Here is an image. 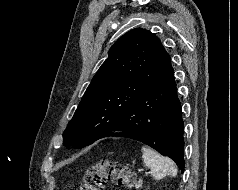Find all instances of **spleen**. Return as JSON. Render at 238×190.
Wrapping results in <instances>:
<instances>
[{
  "mask_svg": "<svg viewBox=\"0 0 238 190\" xmlns=\"http://www.w3.org/2000/svg\"><path fill=\"white\" fill-rule=\"evenodd\" d=\"M144 164L151 169V175L154 179H162L167 175L175 177L177 175V167L175 163L156 151L142 147Z\"/></svg>",
  "mask_w": 238,
  "mask_h": 190,
  "instance_id": "3e777b00",
  "label": "spleen"
}]
</instances>
